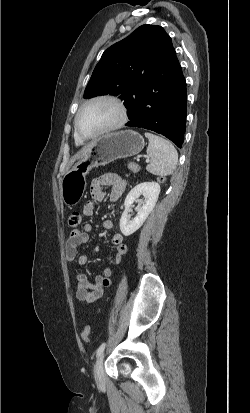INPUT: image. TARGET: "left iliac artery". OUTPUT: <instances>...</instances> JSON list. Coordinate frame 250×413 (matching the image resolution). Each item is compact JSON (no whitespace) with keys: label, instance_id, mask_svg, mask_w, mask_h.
<instances>
[{"label":"left iliac artery","instance_id":"1","mask_svg":"<svg viewBox=\"0 0 250 413\" xmlns=\"http://www.w3.org/2000/svg\"><path fill=\"white\" fill-rule=\"evenodd\" d=\"M105 346H106V343H102V344L100 345V347L97 349V352H96V356H97V357H99V356L103 353V351H104V349H105Z\"/></svg>","mask_w":250,"mask_h":413}]
</instances>
